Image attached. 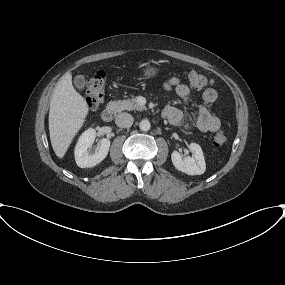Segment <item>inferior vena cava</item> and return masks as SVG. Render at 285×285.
<instances>
[{"instance_id": "1", "label": "inferior vena cava", "mask_w": 285, "mask_h": 285, "mask_svg": "<svg viewBox=\"0 0 285 285\" xmlns=\"http://www.w3.org/2000/svg\"><path fill=\"white\" fill-rule=\"evenodd\" d=\"M134 122L133 117L128 113H121L116 116L115 123L120 128H129Z\"/></svg>"}]
</instances>
